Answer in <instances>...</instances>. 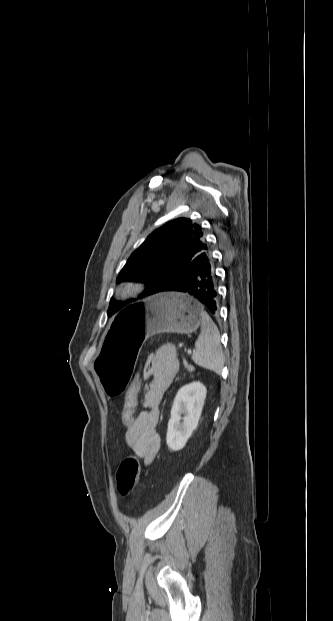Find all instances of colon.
I'll use <instances>...</instances> for the list:
<instances>
[{
  "mask_svg": "<svg viewBox=\"0 0 333 621\" xmlns=\"http://www.w3.org/2000/svg\"><path fill=\"white\" fill-rule=\"evenodd\" d=\"M141 388V380L135 375L130 381L124 396L121 419L128 426L132 424L136 417L138 405V395ZM140 475V465L136 457L125 458L117 470V489L120 495L127 496L136 486Z\"/></svg>",
  "mask_w": 333,
  "mask_h": 621,
  "instance_id": "5ec220e1",
  "label": "colon"
}]
</instances>
